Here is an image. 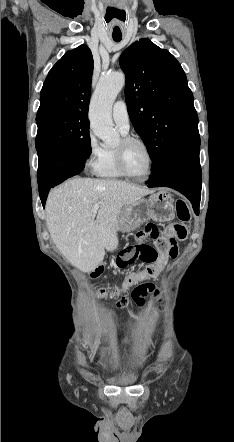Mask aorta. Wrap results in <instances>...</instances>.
Here are the masks:
<instances>
[{"label": "aorta", "mask_w": 234, "mask_h": 442, "mask_svg": "<svg viewBox=\"0 0 234 442\" xmlns=\"http://www.w3.org/2000/svg\"><path fill=\"white\" fill-rule=\"evenodd\" d=\"M125 85V75L113 72L100 78L90 104L89 119L94 134L107 144L118 141L112 121V106Z\"/></svg>", "instance_id": "1"}]
</instances>
